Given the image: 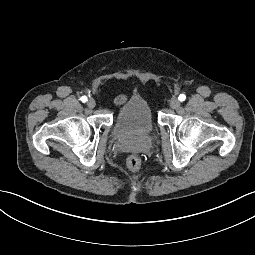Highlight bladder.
Segmentation results:
<instances>
[{
  "instance_id": "obj_1",
  "label": "bladder",
  "mask_w": 255,
  "mask_h": 255,
  "mask_svg": "<svg viewBox=\"0 0 255 255\" xmlns=\"http://www.w3.org/2000/svg\"><path fill=\"white\" fill-rule=\"evenodd\" d=\"M153 131V114L149 104L139 94L131 96L119 108L112 127L113 136L142 137Z\"/></svg>"
}]
</instances>
